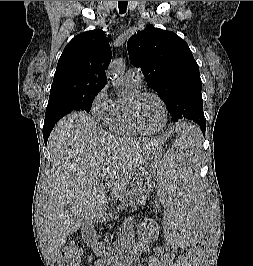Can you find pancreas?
Masks as SVG:
<instances>
[{"instance_id": "pancreas-1", "label": "pancreas", "mask_w": 253, "mask_h": 266, "mask_svg": "<svg viewBox=\"0 0 253 266\" xmlns=\"http://www.w3.org/2000/svg\"><path fill=\"white\" fill-rule=\"evenodd\" d=\"M146 185L144 184V179L136 181L131 184L130 190L127 192L126 196L122 199L123 203L135 204L137 202H144L146 200ZM143 241V238H141Z\"/></svg>"}]
</instances>
